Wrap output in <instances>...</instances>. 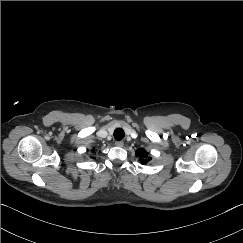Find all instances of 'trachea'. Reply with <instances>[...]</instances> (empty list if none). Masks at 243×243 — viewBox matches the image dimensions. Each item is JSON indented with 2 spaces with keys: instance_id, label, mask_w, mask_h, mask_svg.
Returning <instances> with one entry per match:
<instances>
[{
  "instance_id": "trachea-1",
  "label": "trachea",
  "mask_w": 243,
  "mask_h": 243,
  "mask_svg": "<svg viewBox=\"0 0 243 243\" xmlns=\"http://www.w3.org/2000/svg\"><path fill=\"white\" fill-rule=\"evenodd\" d=\"M124 136H125V133H124L123 129H121V128H117V129L114 131V138H115L116 140H121V139L124 138Z\"/></svg>"
}]
</instances>
